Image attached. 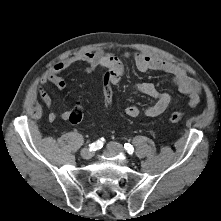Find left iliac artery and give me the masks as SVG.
I'll list each match as a JSON object with an SVG mask.
<instances>
[{
  "label": "left iliac artery",
  "mask_w": 221,
  "mask_h": 221,
  "mask_svg": "<svg viewBox=\"0 0 221 221\" xmlns=\"http://www.w3.org/2000/svg\"><path fill=\"white\" fill-rule=\"evenodd\" d=\"M124 148L127 150V152H128L129 154H132L133 151H134L133 146H132L131 144H129V143H125V144H124Z\"/></svg>",
  "instance_id": "1"
}]
</instances>
